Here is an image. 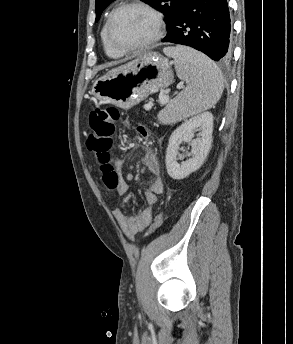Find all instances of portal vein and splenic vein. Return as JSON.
I'll return each mask as SVG.
<instances>
[{"label": "portal vein and splenic vein", "instance_id": "1", "mask_svg": "<svg viewBox=\"0 0 293 344\" xmlns=\"http://www.w3.org/2000/svg\"><path fill=\"white\" fill-rule=\"evenodd\" d=\"M169 100V96L168 95H164L160 97V104L164 105L168 102Z\"/></svg>", "mask_w": 293, "mask_h": 344}]
</instances>
